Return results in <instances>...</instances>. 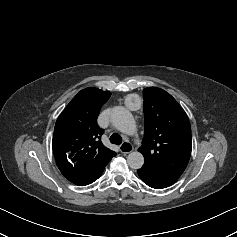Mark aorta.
I'll use <instances>...</instances> for the list:
<instances>
[{
  "mask_svg": "<svg viewBox=\"0 0 237 237\" xmlns=\"http://www.w3.org/2000/svg\"><path fill=\"white\" fill-rule=\"evenodd\" d=\"M111 122L116 129L127 135H133L136 131L135 120L124 107L117 106L113 109ZM127 163L132 169H140L144 164V156L139 151H133L128 155Z\"/></svg>",
  "mask_w": 237,
  "mask_h": 237,
  "instance_id": "762f6f07",
  "label": "aorta"
}]
</instances>
